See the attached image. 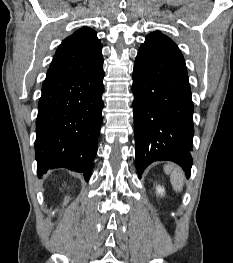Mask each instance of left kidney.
<instances>
[{
  "label": "left kidney",
  "instance_id": "1",
  "mask_svg": "<svg viewBox=\"0 0 233 263\" xmlns=\"http://www.w3.org/2000/svg\"><path fill=\"white\" fill-rule=\"evenodd\" d=\"M156 193L163 196L165 194V189L161 186H156Z\"/></svg>",
  "mask_w": 233,
  "mask_h": 263
}]
</instances>
